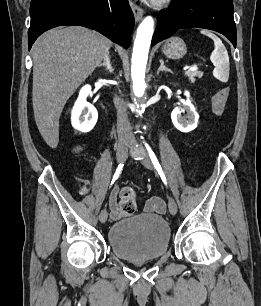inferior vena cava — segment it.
<instances>
[{
  "mask_svg": "<svg viewBox=\"0 0 261 306\" xmlns=\"http://www.w3.org/2000/svg\"><path fill=\"white\" fill-rule=\"evenodd\" d=\"M114 104L117 110V132L118 135H129V121H128V115L126 111L125 104L123 100H121L119 97L114 98Z\"/></svg>",
  "mask_w": 261,
  "mask_h": 306,
  "instance_id": "1",
  "label": "inferior vena cava"
}]
</instances>
